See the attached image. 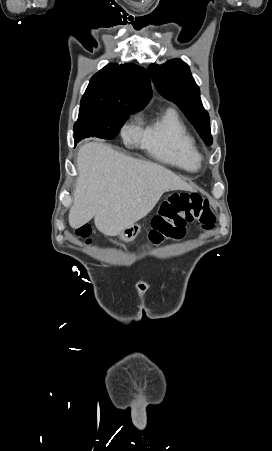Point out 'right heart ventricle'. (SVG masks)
Segmentation results:
<instances>
[{"label": "right heart ventricle", "instance_id": "e07e8e85", "mask_svg": "<svg viewBox=\"0 0 272 451\" xmlns=\"http://www.w3.org/2000/svg\"><path fill=\"white\" fill-rule=\"evenodd\" d=\"M139 141L161 162L186 173L198 169L199 154L194 142L173 110H168L160 120L142 132Z\"/></svg>", "mask_w": 272, "mask_h": 451}]
</instances>
